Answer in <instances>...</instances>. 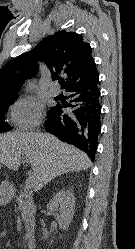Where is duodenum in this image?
I'll use <instances>...</instances> for the list:
<instances>
[{"instance_id":"obj_1","label":"duodenum","mask_w":135,"mask_h":249,"mask_svg":"<svg viewBox=\"0 0 135 249\" xmlns=\"http://www.w3.org/2000/svg\"><path fill=\"white\" fill-rule=\"evenodd\" d=\"M24 195L26 196V193H24ZM27 245L29 249H33L35 247V238L33 234H30L28 241H27Z\"/></svg>"}]
</instances>
